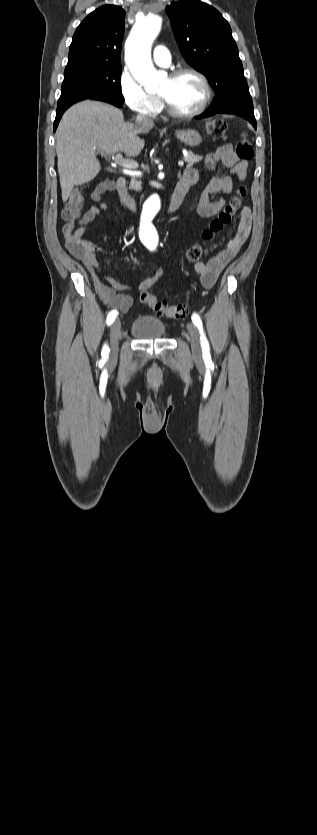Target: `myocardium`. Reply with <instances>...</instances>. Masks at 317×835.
<instances>
[{
    "mask_svg": "<svg viewBox=\"0 0 317 835\" xmlns=\"http://www.w3.org/2000/svg\"><path fill=\"white\" fill-rule=\"evenodd\" d=\"M187 74L195 76L200 81V83L202 85V88H203V98L200 101L199 105L194 110H192L190 112L177 111L176 109H174L172 107V105L169 103V101L163 95H160V98L163 101L167 112L171 116H173L175 118H179V119H189V118H193V117H196V116L200 115L206 109V107L209 104V102L211 100V97H212V90H211V86H210V83H209L207 77L201 71H199V70H197L193 67L177 68L170 73L169 77L172 78V79H175V78H178L182 75H187Z\"/></svg>",
    "mask_w": 317,
    "mask_h": 835,
    "instance_id": "1",
    "label": "myocardium"
}]
</instances>
